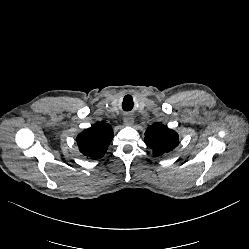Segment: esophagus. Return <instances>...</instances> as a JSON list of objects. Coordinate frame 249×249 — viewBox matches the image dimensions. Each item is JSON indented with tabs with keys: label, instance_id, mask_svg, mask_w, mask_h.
I'll list each match as a JSON object with an SVG mask.
<instances>
[{
	"label": "esophagus",
	"instance_id": "obj_1",
	"mask_svg": "<svg viewBox=\"0 0 249 249\" xmlns=\"http://www.w3.org/2000/svg\"><path fill=\"white\" fill-rule=\"evenodd\" d=\"M124 123H125V125H133L134 124V117L131 115V114H129V113H127L126 115H125V117H124Z\"/></svg>",
	"mask_w": 249,
	"mask_h": 249
}]
</instances>
